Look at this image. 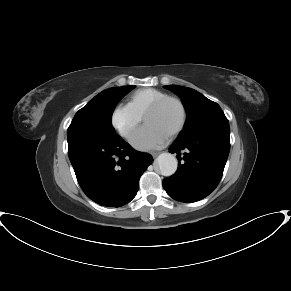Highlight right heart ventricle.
Here are the masks:
<instances>
[{
	"mask_svg": "<svg viewBox=\"0 0 291 291\" xmlns=\"http://www.w3.org/2000/svg\"><path fill=\"white\" fill-rule=\"evenodd\" d=\"M168 96L167 93L155 89L145 88L134 91L129 98V105L141 116L153 102Z\"/></svg>",
	"mask_w": 291,
	"mask_h": 291,
	"instance_id": "1",
	"label": "right heart ventricle"
}]
</instances>
